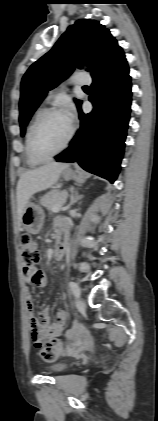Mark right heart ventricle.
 <instances>
[{
  "instance_id": "right-heart-ventricle-1",
  "label": "right heart ventricle",
  "mask_w": 158,
  "mask_h": 421,
  "mask_svg": "<svg viewBox=\"0 0 158 421\" xmlns=\"http://www.w3.org/2000/svg\"><path fill=\"white\" fill-rule=\"evenodd\" d=\"M44 107L41 105L39 106L32 114L28 127H27V131H26V137H25V155H26V162L29 166L31 167H35L40 165L42 162L36 160L31 152H30V148H29V136H30V132L32 129V126L34 125L35 121L37 120V118L40 116V114L44 111Z\"/></svg>"
}]
</instances>
